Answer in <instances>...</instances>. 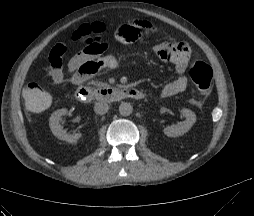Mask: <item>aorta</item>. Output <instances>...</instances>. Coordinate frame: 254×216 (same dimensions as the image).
Returning a JSON list of instances; mask_svg holds the SVG:
<instances>
[{
	"label": "aorta",
	"mask_w": 254,
	"mask_h": 216,
	"mask_svg": "<svg viewBox=\"0 0 254 216\" xmlns=\"http://www.w3.org/2000/svg\"><path fill=\"white\" fill-rule=\"evenodd\" d=\"M133 112V106L130 103L122 102L119 105V113L122 116H129Z\"/></svg>",
	"instance_id": "aorta-1"
}]
</instances>
